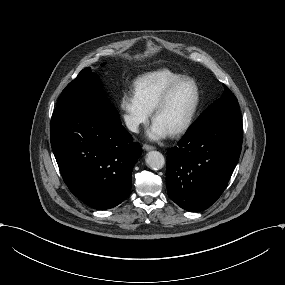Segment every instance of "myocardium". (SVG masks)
I'll return each mask as SVG.
<instances>
[{"instance_id":"myocardium-1","label":"myocardium","mask_w":285,"mask_h":285,"mask_svg":"<svg viewBox=\"0 0 285 285\" xmlns=\"http://www.w3.org/2000/svg\"><path fill=\"white\" fill-rule=\"evenodd\" d=\"M185 82H192L196 88V92H197V96H196V101L195 104L189 114V116L187 117V119L178 127L174 128L173 130L170 131V133L172 135H177L180 134L184 131H186L192 124V122L194 121L200 105H201V101H202V90L201 87L199 85V83L197 82L196 79L192 78V77H183L179 80H177L176 82H174L173 84H171L166 90L165 92L162 94V96L160 97V99L158 100V102L156 103V105L154 106L153 110H152V117L153 119L155 118L157 112L159 110H161L169 101L171 95L173 94V92L183 83Z\"/></svg>"}]
</instances>
